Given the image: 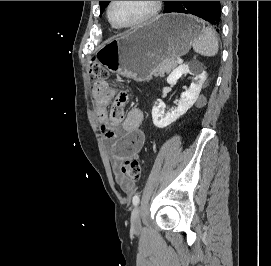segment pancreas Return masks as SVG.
<instances>
[{"instance_id": "pancreas-1", "label": "pancreas", "mask_w": 271, "mask_h": 266, "mask_svg": "<svg viewBox=\"0 0 271 266\" xmlns=\"http://www.w3.org/2000/svg\"><path fill=\"white\" fill-rule=\"evenodd\" d=\"M177 66L176 60H164L160 62L153 70L154 76H164Z\"/></svg>"}]
</instances>
